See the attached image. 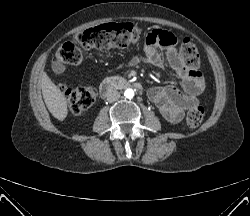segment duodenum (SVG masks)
<instances>
[{
  "label": "duodenum",
  "mask_w": 250,
  "mask_h": 216,
  "mask_svg": "<svg viewBox=\"0 0 250 216\" xmlns=\"http://www.w3.org/2000/svg\"><path fill=\"white\" fill-rule=\"evenodd\" d=\"M130 86V83L122 78L111 77L104 80L99 88L100 95L106 97L112 91ZM139 86V85H136Z\"/></svg>",
  "instance_id": "duodenum-1"
}]
</instances>
